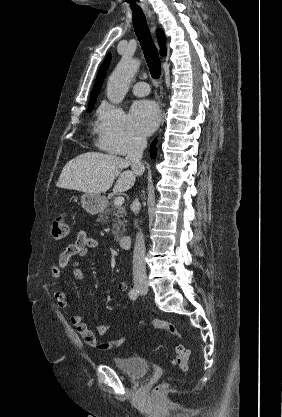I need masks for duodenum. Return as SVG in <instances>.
I'll list each match as a JSON object with an SVG mask.
<instances>
[{
  "label": "duodenum",
  "instance_id": "obj_1",
  "mask_svg": "<svg viewBox=\"0 0 282 417\" xmlns=\"http://www.w3.org/2000/svg\"><path fill=\"white\" fill-rule=\"evenodd\" d=\"M119 246L126 250L129 247L130 241H131V237L129 235H123L119 238Z\"/></svg>",
  "mask_w": 282,
  "mask_h": 417
}]
</instances>
